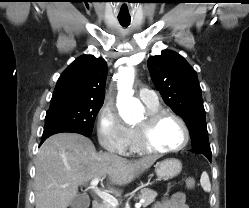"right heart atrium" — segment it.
Masks as SVG:
<instances>
[{"label": "right heart atrium", "instance_id": "1", "mask_svg": "<svg viewBox=\"0 0 249 208\" xmlns=\"http://www.w3.org/2000/svg\"><path fill=\"white\" fill-rule=\"evenodd\" d=\"M97 137L102 147L110 152L126 155L129 149L130 131L116 109L104 104L97 116Z\"/></svg>", "mask_w": 249, "mask_h": 208}]
</instances>
